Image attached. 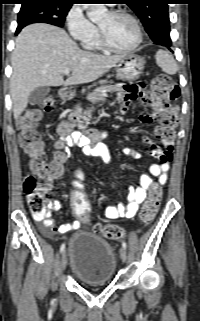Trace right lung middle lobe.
<instances>
[{"instance_id":"1","label":"right lung middle lobe","mask_w":200,"mask_h":321,"mask_svg":"<svg viewBox=\"0 0 200 321\" xmlns=\"http://www.w3.org/2000/svg\"><path fill=\"white\" fill-rule=\"evenodd\" d=\"M70 8L71 5L53 0L24 1L18 13L17 29L21 30L32 23H48L63 27Z\"/></svg>"}]
</instances>
